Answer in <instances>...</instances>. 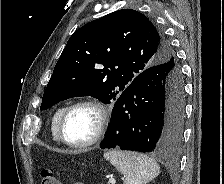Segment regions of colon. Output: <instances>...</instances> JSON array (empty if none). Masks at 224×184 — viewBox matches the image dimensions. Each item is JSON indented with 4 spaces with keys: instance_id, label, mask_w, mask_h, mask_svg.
I'll return each instance as SVG.
<instances>
[{
    "instance_id": "colon-1",
    "label": "colon",
    "mask_w": 224,
    "mask_h": 184,
    "mask_svg": "<svg viewBox=\"0 0 224 184\" xmlns=\"http://www.w3.org/2000/svg\"><path fill=\"white\" fill-rule=\"evenodd\" d=\"M40 184H60V182L54 171L46 167L40 173Z\"/></svg>"
}]
</instances>
